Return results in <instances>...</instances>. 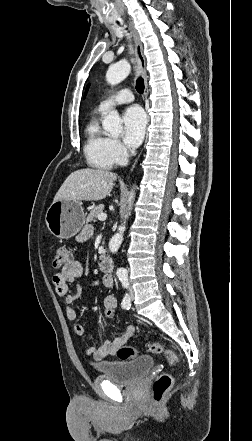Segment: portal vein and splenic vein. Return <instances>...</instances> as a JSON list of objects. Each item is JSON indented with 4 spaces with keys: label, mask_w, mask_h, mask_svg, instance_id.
<instances>
[{
    "label": "portal vein and splenic vein",
    "mask_w": 252,
    "mask_h": 441,
    "mask_svg": "<svg viewBox=\"0 0 252 441\" xmlns=\"http://www.w3.org/2000/svg\"><path fill=\"white\" fill-rule=\"evenodd\" d=\"M106 218H107V215L105 213H101V214L98 215V219L100 221H105Z\"/></svg>",
    "instance_id": "18ae733b"
}]
</instances>
